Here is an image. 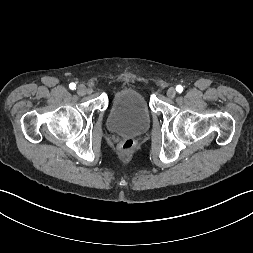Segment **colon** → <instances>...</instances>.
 Returning a JSON list of instances; mask_svg holds the SVG:
<instances>
[{
	"label": "colon",
	"mask_w": 253,
	"mask_h": 253,
	"mask_svg": "<svg viewBox=\"0 0 253 253\" xmlns=\"http://www.w3.org/2000/svg\"><path fill=\"white\" fill-rule=\"evenodd\" d=\"M135 144L136 143L133 139H125L120 143L119 150L123 155H128L133 151Z\"/></svg>",
	"instance_id": "1"
}]
</instances>
